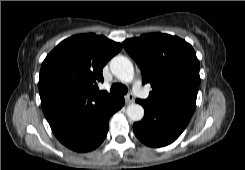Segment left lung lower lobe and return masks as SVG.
Returning <instances> with one entry per match:
<instances>
[{"label": "left lung lower lobe", "instance_id": "0a47b994", "mask_svg": "<svg viewBox=\"0 0 245 170\" xmlns=\"http://www.w3.org/2000/svg\"><path fill=\"white\" fill-rule=\"evenodd\" d=\"M145 109L144 118L134 123L133 130L137 138L150 147H162L172 143L184 131L190 117L160 109L137 99Z\"/></svg>", "mask_w": 245, "mask_h": 170}]
</instances>
